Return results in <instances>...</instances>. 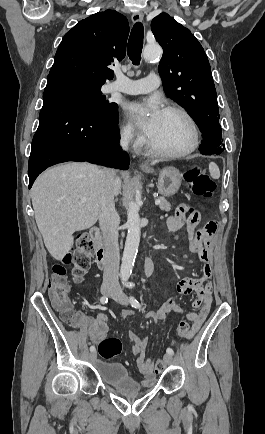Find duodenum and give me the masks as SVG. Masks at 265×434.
Returning a JSON list of instances; mask_svg holds the SVG:
<instances>
[{"instance_id": "1", "label": "duodenum", "mask_w": 265, "mask_h": 434, "mask_svg": "<svg viewBox=\"0 0 265 434\" xmlns=\"http://www.w3.org/2000/svg\"><path fill=\"white\" fill-rule=\"evenodd\" d=\"M90 237L96 244L95 249V259L96 264L99 268L105 267V259H106V250L104 247L100 244V232L98 228H92L90 230ZM155 267L154 258L151 256H148L144 258L143 260V272L146 277H149L153 274Z\"/></svg>"}]
</instances>
